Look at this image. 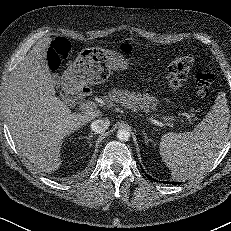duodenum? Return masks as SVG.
Here are the masks:
<instances>
[{
	"mask_svg": "<svg viewBox=\"0 0 231 231\" xmlns=\"http://www.w3.org/2000/svg\"><path fill=\"white\" fill-rule=\"evenodd\" d=\"M64 96L68 103L76 104L84 101L91 95V88L87 85H78L71 78L63 80Z\"/></svg>",
	"mask_w": 231,
	"mask_h": 231,
	"instance_id": "duodenum-1",
	"label": "duodenum"
}]
</instances>
